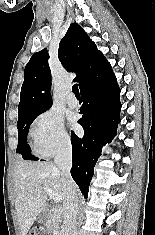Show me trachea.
<instances>
[{"instance_id": "3493384b", "label": "trachea", "mask_w": 155, "mask_h": 235, "mask_svg": "<svg viewBox=\"0 0 155 235\" xmlns=\"http://www.w3.org/2000/svg\"><path fill=\"white\" fill-rule=\"evenodd\" d=\"M72 91H73V93L75 94V96H80V93H79V89H78V85H77V84H74V85H73Z\"/></svg>"}]
</instances>
